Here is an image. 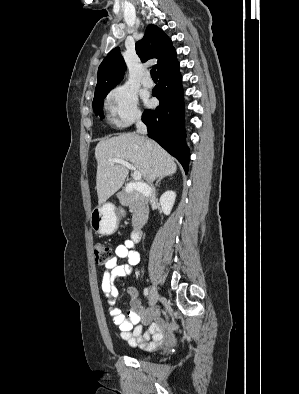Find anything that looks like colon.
I'll return each instance as SVG.
<instances>
[{
    "label": "colon",
    "mask_w": 299,
    "mask_h": 394,
    "mask_svg": "<svg viewBox=\"0 0 299 394\" xmlns=\"http://www.w3.org/2000/svg\"><path fill=\"white\" fill-rule=\"evenodd\" d=\"M95 260L99 265H106L112 260V250L108 244L97 243L94 246Z\"/></svg>",
    "instance_id": "colon-1"
}]
</instances>
